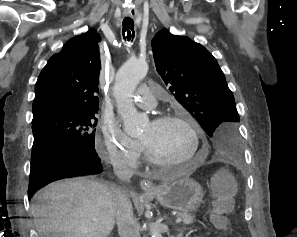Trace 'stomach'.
Returning a JSON list of instances; mask_svg holds the SVG:
<instances>
[{
	"instance_id": "1",
	"label": "stomach",
	"mask_w": 297,
	"mask_h": 237,
	"mask_svg": "<svg viewBox=\"0 0 297 237\" xmlns=\"http://www.w3.org/2000/svg\"><path fill=\"white\" fill-rule=\"evenodd\" d=\"M149 194L162 206L183 213L196 211L202 203L204 195L201 185L189 177L164 183Z\"/></svg>"
}]
</instances>
